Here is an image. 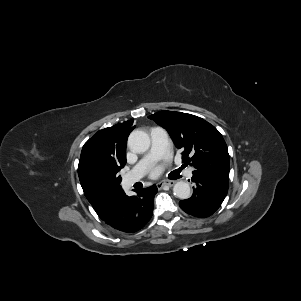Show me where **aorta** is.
<instances>
[{
    "instance_id": "aorta-1",
    "label": "aorta",
    "mask_w": 301,
    "mask_h": 301,
    "mask_svg": "<svg viewBox=\"0 0 301 301\" xmlns=\"http://www.w3.org/2000/svg\"><path fill=\"white\" fill-rule=\"evenodd\" d=\"M130 149L136 153H143L150 147L149 135L141 130H134L128 138ZM173 193L179 199H188L191 196V189L187 182L178 181L173 187Z\"/></svg>"
}]
</instances>
